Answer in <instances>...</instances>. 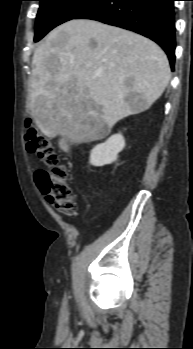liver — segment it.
Segmentation results:
<instances>
[{
	"mask_svg": "<svg viewBox=\"0 0 193 349\" xmlns=\"http://www.w3.org/2000/svg\"><path fill=\"white\" fill-rule=\"evenodd\" d=\"M32 65L31 116L44 135L60 136L66 152L149 109L171 77L166 54L150 39L82 19L52 30Z\"/></svg>",
	"mask_w": 193,
	"mask_h": 349,
	"instance_id": "obj_1",
	"label": "liver"
}]
</instances>
